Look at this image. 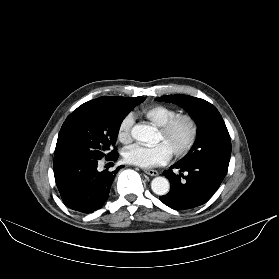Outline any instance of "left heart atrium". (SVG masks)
<instances>
[{
  "label": "left heart atrium",
  "instance_id": "obj_1",
  "mask_svg": "<svg viewBox=\"0 0 279 279\" xmlns=\"http://www.w3.org/2000/svg\"><path fill=\"white\" fill-rule=\"evenodd\" d=\"M171 154L163 142L152 146L135 144L126 150L125 159L130 164L149 168L166 163L170 159Z\"/></svg>",
  "mask_w": 279,
  "mask_h": 279
}]
</instances>
